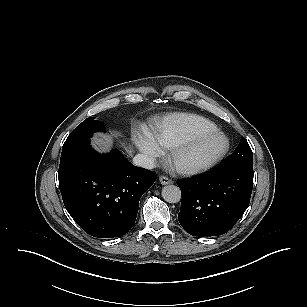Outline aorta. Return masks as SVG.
I'll return each instance as SVG.
<instances>
[{"label":"aorta","instance_id":"aorta-1","mask_svg":"<svg viewBox=\"0 0 307 307\" xmlns=\"http://www.w3.org/2000/svg\"><path fill=\"white\" fill-rule=\"evenodd\" d=\"M162 197L168 203H178L181 200V191L175 185H166L162 189Z\"/></svg>","mask_w":307,"mask_h":307}]
</instances>
